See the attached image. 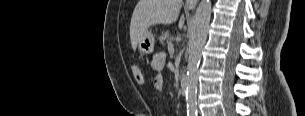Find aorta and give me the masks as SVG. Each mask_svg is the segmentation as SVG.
Here are the masks:
<instances>
[{"mask_svg":"<svg viewBox=\"0 0 305 116\" xmlns=\"http://www.w3.org/2000/svg\"><path fill=\"white\" fill-rule=\"evenodd\" d=\"M211 12V1L201 0L194 15L190 30L186 76L187 111L190 114L196 113L198 68L201 60V51L207 38Z\"/></svg>","mask_w":305,"mask_h":116,"instance_id":"aorta-1","label":"aorta"}]
</instances>
